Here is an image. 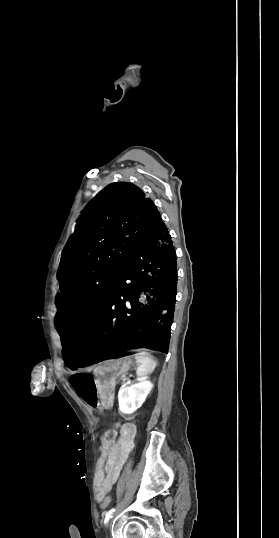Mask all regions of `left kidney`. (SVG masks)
Listing matches in <instances>:
<instances>
[{"instance_id":"5707ae66","label":"left kidney","mask_w":279,"mask_h":538,"mask_svg":"<svg viewBox=\"0 0 279 538\" xmlns=\"http://www.w3.org/2000/svg\"><path fill=\"white\" fill-rule=\"evenodd\" d=\"M153 384L139 378L138 384H123L118 392L119 410L122 414H133L141 408L148 394H150Z\"/></svg>"}]
</instances>
